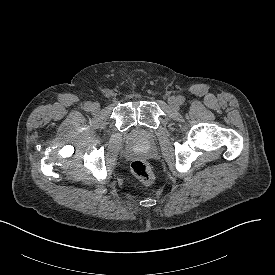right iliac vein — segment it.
<instances>
[{
	"mask_svg": "<svg viewBox=\"0 0 275 275\" xmlns=\"http://www.w3.org/2000/svg\"><path fill=\"white\" fill-rule=\"evenodd\" d=\"M100 110V105L98 103H92L91 104V111L93 113H97Z\"/></svg>",
	"mask_w": 275,
	"mask_h": 275,
	"instance_id": "obj_1",
	"label": "right iliac vein"
}]
</instances>
